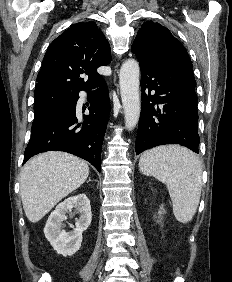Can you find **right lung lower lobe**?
<instances>
[{
    "instance_id": "obj_1",
    "label": "right lung lower lobe",
    "mask_w": 232,
    "mask_h": 282,
    "mask_svg": "<svg viewBox=\"0 0 232 282\" xmlns=\"http://www.w3.org/2000/svg\"><path fill=\"white\" fill-rule=\"evenodd\" d=\"M97 86L99 89L92 91ZM84 90L90 97V114L84 115L83 123H78L76 118L77 93L57 112L32 124V136L24 153L23 164L36 154L58 150L89 161L101 172V148L110 113L108 89L104 79H101Z\"/></svg>"
}]
</instances>
